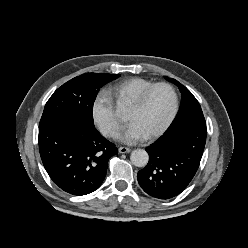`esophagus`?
<instances>
[{"mask_svg":"<svg viewBox=\"0 0 248 248\" xmlns=\"http://www.w3.org/2000/svg\"><path fill=\"white\" fill-rule=\"evenodd\" d=\"M118 151H119V153L124 154V153H129L131 151V149L128 147L121 146L118 148Z\"/></svg>","mask_w":248,"mask_h":248,"instance_id":"esophagus-1","label":"esophagus"}]
</instances>
